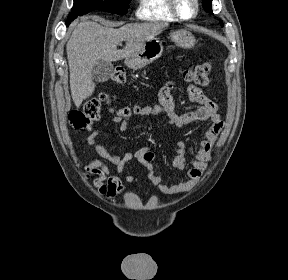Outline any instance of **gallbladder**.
Here are the masks:
<instances>
[{
	"label": "gallbladder",
	"mask_w": 288,
	"mask_h": 280,
	"mask_svg": "<svg viewBox=\"0 0 288 280\" xmlns=\"http://www.w3.org/2000/svg\"><path fill=\"white\" fill-rule=\"evenodd\" d=\"M113 73V65L110 62L99 60L93 67L92 75L99 82L107 81Z\"/></svg>",
	"instance_id": "gallbladder-1"
}]
</instances>
